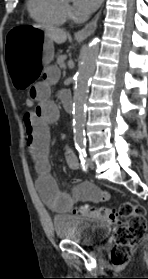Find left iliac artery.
<instances>
[{"label": "left iliac artery", "instance_id": "44dca946", "mask_svg": "<svg viewBox=\"0 0 148 279\" xmlns=\"http://www.w3.org/2000/svg\"><path fill=\"white\" fill-rule=\"evenodd\" d=\"M77 150L79 152V158L81 160L82 169H83V171H87L88 164H87L86 148L85 147H78Z\"/></svg>", "mask_w": 148, "mask_h": 279}]
</instances>
